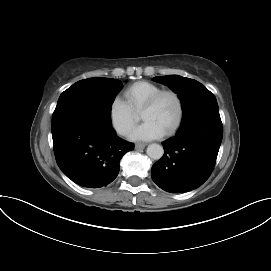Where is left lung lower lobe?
I'll return each mask as SVG.
<instances>
[{
  "label": "left lung lower lobe",
  "instance_id": "0a47b994",
  "mask_svg": "<svg viewBox=\"0 0 271 271\" xmlns=\"http://www.w3.org/2000/svg\"><path fill=\"white\" fill-rule=\"evenodd\" d=\"M223 136L219 114L195 117L176 136L162 143L165 154L151 170L163 190L183 193L201 186L210 176Z\"/></svg>",
  "mask_w": 271,
  "mask_h": 271
}]
</instances>
